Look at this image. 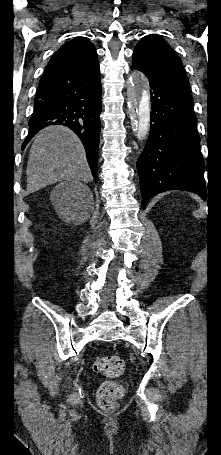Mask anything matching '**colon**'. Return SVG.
Here are the masks:
<instances>
[{
    "instance_id": "5ec220e1",
    "label": "colon",
    "mask_w": 221,
    "mask_h": 455,
    "mask_svg": "<svg viewBox=\"0 0 221 455\" xmlns=\"http://www.w3.org/2000/svg\"><path fill=\"white\" fill-rule=\"evenodd\" d=\"M93 368L110 379L119 377L124 370V361L117 355L97 357L93 362ZM122 385L114 380L101 384L97 392L98 404L104 409H112L117 401L123 396Z\"/></svg>"
}]
</instances>
